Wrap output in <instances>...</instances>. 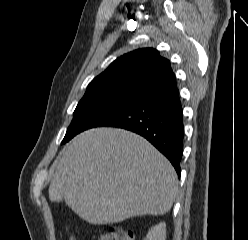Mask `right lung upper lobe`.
<instances>
[{
    "label": "right lung upper lobe",
    "mask_w": 248,
    "mask_h": 240,
    "mask_svg": "<svg viewBox=\"0 0 248 240\" xmlns=\"http://www.w3.org/2000/svg\"><path fill=\"white\" fill-rule=\"evenodd\" d=\"M176 88L169 60L152 48L127 53L115 61L87 87L106 89L138 100Z\"/></svg>",
    "instance_id": "right-lung-upper-lobe-1"
}]
</instances>
